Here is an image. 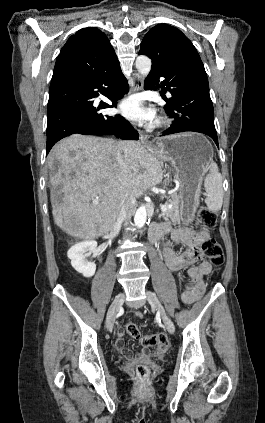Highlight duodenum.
<instances>
[{"label":"duodenum","mask_w":265,"mask_h":423,"mask_svg":"<svg viewBox=\"0 0 265 423\" xmlns=\"http://www.w3.org/2000/svg\"><path fill=\"white\" fill-rule=\"evenodd\" d=\"M164 235V231L158 227H151L150 229V238L153 243H157V241Z\"/></svg>","instance_id":"1"}]
</instances>
